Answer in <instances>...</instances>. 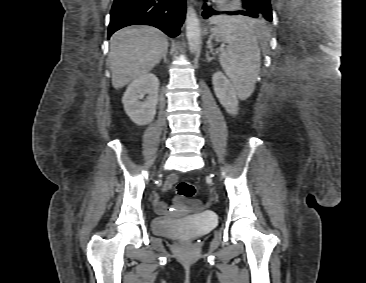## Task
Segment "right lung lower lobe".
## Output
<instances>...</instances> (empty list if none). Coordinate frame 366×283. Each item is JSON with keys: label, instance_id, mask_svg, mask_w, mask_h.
Segmentation results:
<instances>
[{"label": "right lung lower lobe", "instance_id": "98d812e1", "mask_svg": "<svg viewBox=\"0 0 366 283\" xmlns=\"http://www.w3.org/2000/svg\"><path fill=\"white\" fill-rule=\"evenodd\" d=\"M185 13L186 0H114L108 38L123 27L137 24L151 25L176 37Z\"/></svg>", "mask_w": 366, "mask_h": 283}]
</instances>
